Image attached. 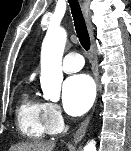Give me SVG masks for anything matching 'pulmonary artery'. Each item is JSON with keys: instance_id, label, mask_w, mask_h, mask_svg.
<instances>
[{"instance_id": "e3ab8cb5", "label": "pulmonary artery", "mask_w": 131, "mask_h": 151, "mask_svg": "<svg viewBox=\"0 0 131 151\" xmlns=\"http://www.w3.org/2000/svg\"><path fill=\"white\" fill-rule=\"evenodd\" d=\"M83 65V57L79 53L71 52L64 57L62 68L66 73H74L79 71Z\"/></svg>"}]
</instances>
